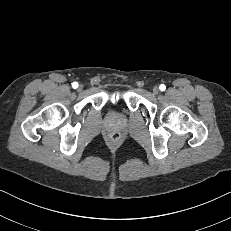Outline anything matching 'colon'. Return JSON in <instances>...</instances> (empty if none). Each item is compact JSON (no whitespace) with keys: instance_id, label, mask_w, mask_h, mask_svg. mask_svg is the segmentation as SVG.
<instances>
[{"instance_id":"obj_1","label":"colon","mask_w":231,"mask_h":231,"mask_svg":"<svg viewBox=\"0 0 231 231\" xmlns=\"http://www.w3.org/2000/svg\"><path fill=\"white\" fill-rule=\"evenodd\" d=\"M119 138H120V134L119 133L114 132V133L111 134V139L113 141H117Z\"/></svg>"}]
</instances>
